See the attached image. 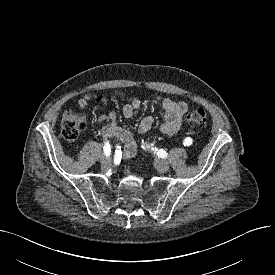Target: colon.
Wrapping results in <instances>:
<instances>
[{"label": "colon", "mask_w": 275, "mask_h": 275, "mask_svg": "<svg viewBox=\"0 0 275 275\" xmlns=\"http://www.w3.org/2000/svg\"><path fill=\"white\" fill-rule=\"evenodd\" d=\"M185 121L195 127L202 128L207 123V114L202 108L191 110L186 116ZM87 124L86 117L72 109H67L62 114L61 133L66 140H74L85 129Z\"/></svg>", "instance_id": "1"}]
</instances>
